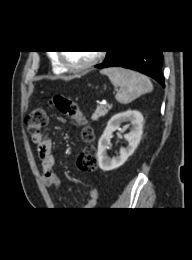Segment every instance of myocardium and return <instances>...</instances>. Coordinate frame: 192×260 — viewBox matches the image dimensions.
Returning <instances> with one entry per match:
<instances>
[{
  "mask_svg": "<svg viewBox=\"0 0 192 260\" xmlns=\"http://www.w3.org/2000/svg\"><path fill=\"white\" fill-rule=\"evenodd\" d=\"M101 58H102L101 53H97L94 56V58L91 59L90 61H88L87 63H85L83 65H79V66H73L66 61L63 52H60L58 55V59H59L61 66L64 69H66L70 72H74V73L83 72V71L90 69L91 67L95 66L101 60Z\"/></svg>",
  "mask_w": 192,
  "mask_h": 260,
  "instance_id": "1",
  "label": "myocardium"
}]
</instances>
